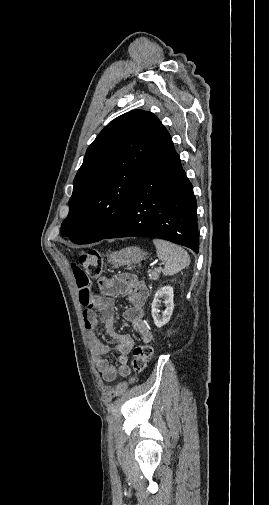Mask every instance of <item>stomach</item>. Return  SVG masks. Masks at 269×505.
Listing matches in <instances>:
<instances>
[{
	"label": "stomach",
	"mask_w": 269,
	"mask_h": 505,
	"mask_svg": "<svg viewBox=\"0 0 269 505\" xmlns=\"http://www.w3.org/2000/svg\"><path fill=\"white\" fill-rule=\"evenodd\" d=\"M144 256L145 252L140 247L131 246L111 253L109 262L115 267L130 266L142 261Z\"/></svg>",
	"instance_id": "obj_1"
}]
</instances>
